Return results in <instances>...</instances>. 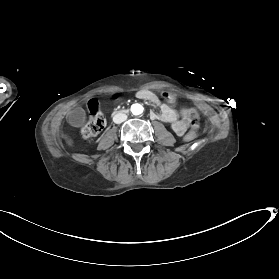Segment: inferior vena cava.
Listing matches in <instances>:
<instances>
[{"mask_svg": "<svg viewBox=\"0 0 279 279\" xmlns=\"http://www.w3.org/2000/svg\"><path fill=\"white\" fill-rule=\"evenodd\" d=\"M127 119V116L122 113H118L113 117V121L117 124H120L121 122L125 121Z\"/></svg>", "mask_w": 279, "mask_h": 279, "instance_id": "602c4592", "label": "inferior vena cava"}]
</instances>
